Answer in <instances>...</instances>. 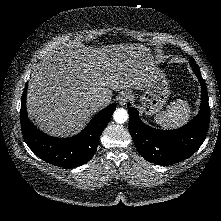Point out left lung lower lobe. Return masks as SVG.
Returning a JSON list of instances; mask_svg holds the SVG:
<instances>
[{"label":"left lung lower lobe","mask_w":221,"mask_h":221,"mask_svg":"<svg viewBox=\"0 0 221 221\" xmlns=\"http://www.w3.org/2000/svg\"><path fill=\"white\" fill-rule=\"evenodd\" d=\"M194 72L201 83V108L185 126L175 130L152 128L139 119L136 109L129 107V131L144 159L161 166L172 165L193 155L205 140L210 119L208 94L200 71Z\"/></svg>","instance_id":"1"}]
</instances>
